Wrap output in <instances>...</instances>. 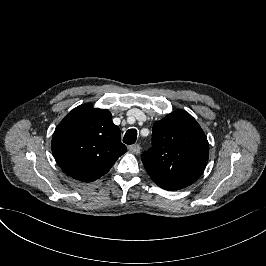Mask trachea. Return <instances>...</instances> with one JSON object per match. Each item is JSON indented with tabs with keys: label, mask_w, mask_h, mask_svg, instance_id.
<instances>
[{
	"label": "trachea",
	"mask_w": 266,
	"mask_h": 266,
	"mask_svg": "<svg viewBox=\"0 0 266 266\" xmlns=\"http://www.w3.org/2000/svg\"><path fill=\"white\" fill-rule=\"evenodd\" d=\"M137 139V131L136 129H129L124 135L123 142L125 144L131 145L136 142Z\"/></svg>",
	"instance_id": "obj_1"
}]
</instances>
